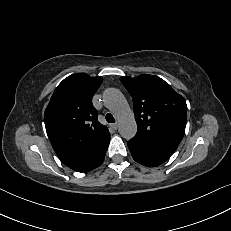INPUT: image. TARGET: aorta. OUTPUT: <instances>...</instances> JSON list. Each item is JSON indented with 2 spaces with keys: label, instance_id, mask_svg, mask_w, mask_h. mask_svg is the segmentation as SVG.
I'll return each instance as SVG.
<instances>
[{
  "label": "aorta",
  "instance_id": "762f6f07",
  "mask_svg": "<svg viewBox=\"0 0 231 231\" xmlns=\"http://www.w3.org/2000/svg\"><path fill=\"white\" fill-rule=\"evenodd\" d=\"M103 101L116 116L120 135L125 139L133 138L137 132V124L124 95L118 89L109 88L103 93Z\"/></svg>",
  "mask_w": 231,
  "mask_h": 231
}]
</instances>
